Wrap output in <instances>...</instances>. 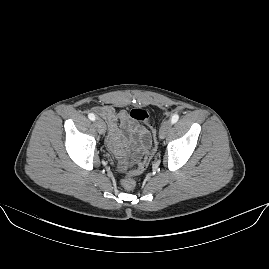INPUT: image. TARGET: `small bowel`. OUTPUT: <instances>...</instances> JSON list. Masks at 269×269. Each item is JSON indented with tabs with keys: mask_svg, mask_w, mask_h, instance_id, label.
Listing matches in <instances>:
<instances>
[{
	"mask_svg": "<svg viewBox=\"0 0 269 269\" xmlns=\"http://www.w3.org/2000/svg\"><path fill=\"white\" fill-rule=\"evenodd\" d=\"M94 112L104 118L108 123L107 147L120 161V168L125 167L123 146L129 138L135 139V157L144 151L149 131L129 117L126 110L116 111L111 105H99Z\"/></svg>",
	"mask_w": 269,
	"mask_h": 269,
	"instance_id": "obj_1",
	"label": "small bowel"
}]
</instances>
